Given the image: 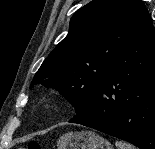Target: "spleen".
<instances>
[{
    "instance_id": "obj_1",
    "label": "spleen",
    "mask_w": 155,
    "mask_h": 149,
    "mask_svg": "<svg viewBox=\"0 0 155 149\" xmlns=\"http://www.w3.org/2000/svg\"><path fill=\"white\" fill-rule=\"evenodd\" d=\"M115 145L117 149H136L133 145L123 141H116Z\"/></svg>"
}]
</instances>
